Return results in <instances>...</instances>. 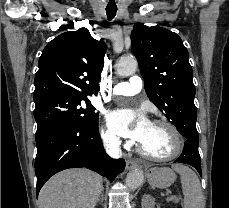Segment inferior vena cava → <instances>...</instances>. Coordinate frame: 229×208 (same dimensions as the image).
I'll use <instances>...</instances> for the list:
<instances>
[{
    "label": "inferior vena cava",
    "instance_id": "1",
    "mask_svg": "<svg viewBox=\"0 0 229 208\" xmlns=\"http://www.w3.org/2000/svg\"><path fill=\"white\" fill-rule=\"evenodd\" d=\"M109 156H112V158H119L118 152L115 154V152H108Z\"/></svg>",
    "mask_w": 229,
    "mask_h": 208
}]
</instances>
